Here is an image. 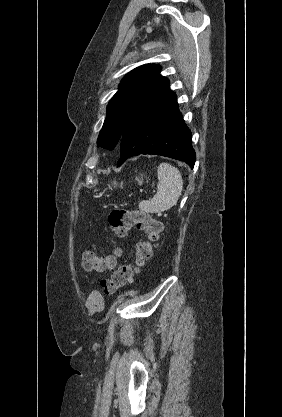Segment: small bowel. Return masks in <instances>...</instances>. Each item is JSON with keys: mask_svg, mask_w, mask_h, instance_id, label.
I'll return each instance as SVG.
<instances>
[{"mask_svg": "<svg viewBox=\"0 0 282 417\" xmlns=\"http://www.w3.org/2000/svg\"><path fill=\"white\" fill-rule=\"evenodd\" d=\"M112 262L116 261V255H112ZM104 298L98 291H91L86 300V309L89 314L93 315L104 310Z\"/></svg>", "mask_w": 282, "mask_h": 417, "instance_id": "obj_1", "label": "small bowel"}]
</instances>
